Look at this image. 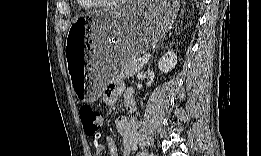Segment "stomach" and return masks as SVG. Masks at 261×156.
<instances>
[{
    "label": "stomach",
    "mask_w": 261,
    "mask_h": 156,
    "mask_svg": "<svg viewBox=\"0 0 261 156\" xmlns=\"http://www.w3.org/2000/svg\"><path fill=\"white\" fill-rule=\"evenodd\" d=\"M178 9L177 2H127L77 19L68 32L65 51L77 98L96 101L117 69L163 39ZM81 41L89 42L91 54L80 60L74 46Z\"/></svg>",
    "instance_id": "0dacf381"
}]
</instances>
